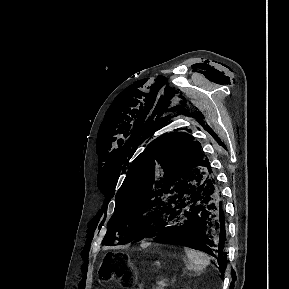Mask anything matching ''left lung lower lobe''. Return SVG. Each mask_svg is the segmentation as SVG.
Listing matches in <instances>:
<instances>
[{
    "mask_svg": "<svg viewBox=\"0 0 289 289\" xmlns=\"http://www.w3.org/2000/svg\"><path fill=\"white\" fill-rule=\"evenodd\" d=\"M221 190L210 171L203 179L184 185L168 206V216L146 237L189 240L187 247L215 257L223 274L226 227Z\"/></svg>",
    "mask_w": 289,
    "mask_h": 289,
    "instance_id": "obj_1",
    "label": "left lung lower lobe"
}]
</instances>
